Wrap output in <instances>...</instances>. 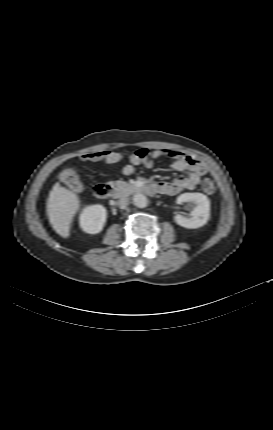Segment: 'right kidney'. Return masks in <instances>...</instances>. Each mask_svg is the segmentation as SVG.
<instances>
[{"mask_svg": "<svg viewBox=\"0 0 273 430\" xmlns=\"http://www.w3.org/2000/svg\"><path fill=\"white\" fill-rule=\"evenodd\" d=\"M106 209L99 204L86 207L80 216V226L89 234L99 233L106 222Z\"/></svg>", "mask_w": 273, "mask_h": 430, "instance_id": "1", "label": "right kidney"}]
</instances>
